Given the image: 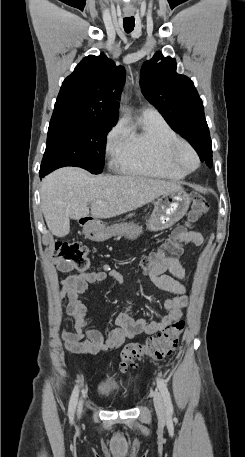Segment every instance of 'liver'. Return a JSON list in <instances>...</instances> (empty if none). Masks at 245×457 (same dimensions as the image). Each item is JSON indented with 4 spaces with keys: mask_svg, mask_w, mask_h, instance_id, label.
Returning a JSON list of instances; mask_svg holds the SVG:
<instances>
[{
    "mask_svg": "<svg viewBox=\"0 0 245 457\" xmlns=\"http://www.w3.org/2000/svg\"><path fill=\"white\" fill-rule=\"evenodd\" d=\"M171 190H182V186L136 174L94 176L84 168L64 166L43 178L40 194L49 231L55 237H66L70 233V218H82L89 212L97 218H110L143 206Z\"/></svg>",
    "mask_w": 245,
    "mask_h": 457,
    "instance_id": "obj_1",
    "label": "liver"
}]
</instances>
